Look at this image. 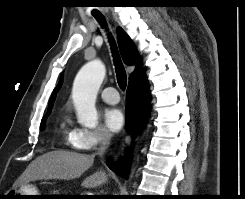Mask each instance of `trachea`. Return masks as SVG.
Segmentation results:
<instances>
[{
	"instance_id": "1",
	"label": "trachea",
	"mask_w": 245,
	"mask_h": 199,
	"mask_svg": "<svg viewBox=\"0 0 245 199\" xmlns=\"http://www.w3.org/2000/svg\"><path fill=\"white\" fill-rule=\"evenodd\" d=\"M95 18L100 22L102 26H106L105 18L102 15H97L95 16ZM109 41H110L111 49L113 53V60H114V65L116 69V74H117V82H118L119 87L122 90H125L126 85H127L126 71L124 69V66L121 61L120 55L118 53V49H117L114 39L110 37Z\"/></svg>"
}]
</instances>
